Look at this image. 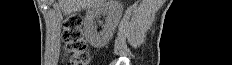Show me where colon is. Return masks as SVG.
<instances>
[{"instance_id":"5ec220e1","label":"colon","mask_w":232,"mask_h":65,"mask_svg":"<svg viewBox=\"0 0 232 65\" xmlns=\"http://www.w3.org/2000/svg\"><path fill=\"white\" fill-rule=\"evenodd\" d=\"M62 38L65 51L69 55V65H88L90 56L87 51L83 32V18L80 14H70L63 22Z\"/></svg>"}]
</instances>
